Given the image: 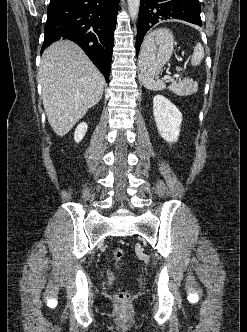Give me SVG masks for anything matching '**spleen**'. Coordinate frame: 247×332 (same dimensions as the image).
I'll list each match as a JSON object with an SVG mask.
<instances>
[{
	"label": "spleen",
	"mask_w": 247,
	"mask_h": 332,
	"mask_svg": "<svg viewBox=\"0 0 247 332\" xmlns=\"http://www.w3.org/2000/svg\"><path fill=\"white\" fill-rule=\"evenodd\" d=\"M203 57H204V49L200 43H197L196 46L194 47V53L191 56V65L192 66L200 65ZM142 83L147 89L152 91H161L166 87L163 81L152 77L143 76ZM168 89L179 96L189 95L193 91L187 87L186 83L176 82V81L172 82L168 86Z\"/></svg>",
	"instance_id": "obj_1"
}]
</instances>
